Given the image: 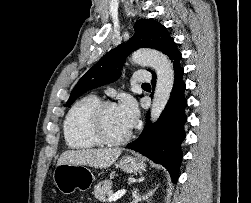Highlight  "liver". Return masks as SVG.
Returning <instances> with one entry per match:
<instances>
[{"label": "liver", "mask_w": 251, "mask_h": 203, "mask_svg": "<svg viewBox=\"0 0 251 203\" xmlns=\"http://www.w3.org/2000/svg\"><path fill=\"white\" fill-rule=\"evenodd\" d=\"M122 150L113 149H83V150H66L60 155L57 166L61 164H81L95 168H108L120 156Z\"/></svg>", "instance_id": "obj_1"}]
</instances>
